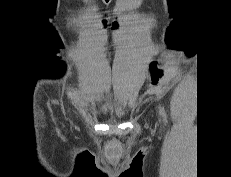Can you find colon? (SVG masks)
Here are the masks:
<instances>
[{
    "instance_id": "5ec220e1",
    "label": "colon",
    "mask_w": 231,
    "mask_h": 177,
    "mask_svg": "<svg viewBox=\"0 0 231 177\" xmlns=\"http://www.w3.org/2000/svg\"><path fill=\"white\" fill-rule=\"evenodd\" d=\"M162 76V72L156 68V64H152V81L157 82Z\"/></svg>"
}]
</instances>
